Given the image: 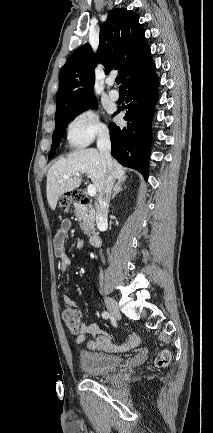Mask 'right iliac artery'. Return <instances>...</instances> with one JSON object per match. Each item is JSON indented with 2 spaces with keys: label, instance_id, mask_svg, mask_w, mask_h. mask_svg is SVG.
<instances>
[{
  "label": "right iliac artery",
  "instance_id": "right-iliac-artery-1",
  "mask_svg": "<svg viewBox=\"0 0 213 433\" xmlns=\"http://www.w3.org/2000/svg\"><path fill=\"white\" fill-rule=\"evenodd\" d=\"M102 317L104 319H108V318H110V314L107 311H104V312H102Z\"/></svg>",
  "mask_w": 213,
  "mask_h": 433
}]
</instances>
